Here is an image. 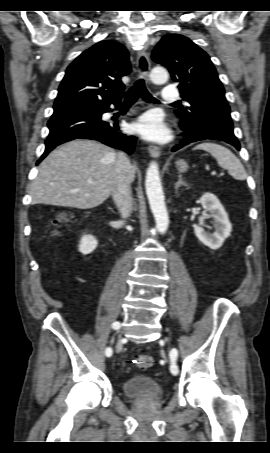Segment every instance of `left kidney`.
Returning a JSON list of instances; mask_svg holds the SVG:
<instances>
[{
    "label": "left kidney",
    "mask_w": 270,
    "mask_h": 453,
    "mask_svg": "<svg viewBox=\"0 0 270 453\" xmlns=\"http://www.w3.org/2000/svg\"><path fill=\"white\" fill-rule=\"evenodd\" d=\"M202 207L207 210L213 217V227L215 231L209 233L205 231L203 225H197L194 228L196 237L207 247L212 250L219 249L226 238L230 236L232 225L229 221L228 214L219 199L211 194L205 193L200 199Z\"/></svg>",
    "instance_id": "left-kidney-1"
}]
</instances>
